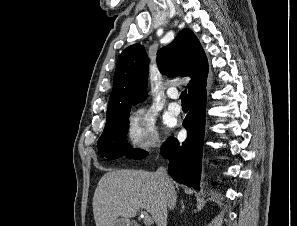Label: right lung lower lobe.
Segmentation results:
<instances>
[{"label": "right lung lower lobe", "instance_id": "1", "mask_svg": "<svg viewBox=\"0 0 297 226\" xmlns=\"http://www.w3.org/2000/svg\"><path fill=\"white\" fill-rule=\"evenodd\" d=\"M205 87L189 96V113L183 121L187 139L180 144L170 137L161 148V155L169 160L168 172L178 183L200 190L202 151L205 131Z\"/></svg>", "mask_w": 297, "mask_h": 226}]
</instances>
